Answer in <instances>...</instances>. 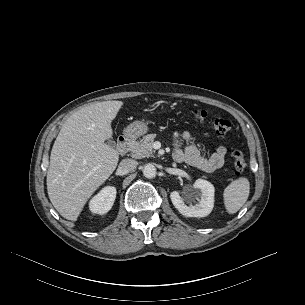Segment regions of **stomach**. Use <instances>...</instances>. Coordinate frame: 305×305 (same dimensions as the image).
I'll return each instance as SVG.
<instances>
[{
    "label": "stomach",
    "instance_id": "1",
    "mask_svg": "<svg viewBox=\"0 0 305 305\" xmlns=\"http://www.w3.org/2000/svg\"><path fill=\"white\" fill-rule=\"evenodd\" d=\"M166 109L162 107V112ZM149 130L148 124L145 121H135L129 124L124 129V136L127 139H134L147 133Z\"/></svg>",
    "mask_w": 305,
    "mask_h": 305
}]
</instances>
